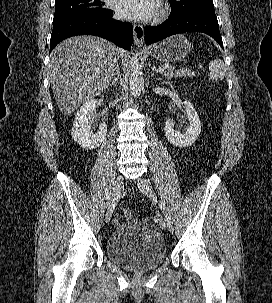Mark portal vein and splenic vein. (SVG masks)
Listing matches in <instances>:
<instances>
[{
  "label": "portal vein and splenic vein",
  "instance_id": "18ae733b",
  "mask_svg": "<svg viewBox=\"0 0 272 303\" xmlns=\"http://www.w3.org/2000/svg\"><path fill=\"white\" fill-rule=\"evenodd\" d=\"M157 72L163 73V72H164V69L160 67V68L157 69Z\"/></svg>",
  "mask_w": 272,
  "mask_h": 303
}]
</instances>
